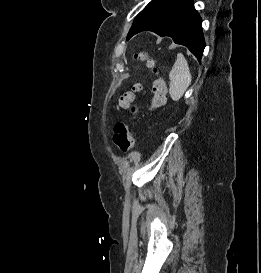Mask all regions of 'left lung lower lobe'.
<instances>
[{
	"mask_svg": "<svg viewBox=\"0 0 261 273\" xmlns=\"http://www.w3.org/2000/svg\"><path fill=\"white\" fill-rule=\"evenodd\" d=\"M201 22L193 0H166L134 21L127 40L138 32L150 30L186 46L200 62L205 47Z\"/></svg>",
	"mask_w": 261,
	"mask_h": 273,
	"instance_id": "1",
	"label": "left lung lower lobe"
}]
</instances>
